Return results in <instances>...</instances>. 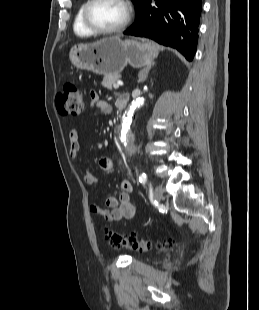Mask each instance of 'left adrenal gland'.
Wrapping results in <instances>:
<instances>
[{
	"instance_id": "obj_1",
	"label": "left adrenal gland",
	"mask_w": 259,
	"mask_h": 310,
	"mask_svg": "<svg viewBox=\"0 0 259 310\" xmlns=\"http://www.w3.org/2000/svg\"><path fill=\"white\" fill-rule=\"evenodd\" d=\"M155 63H152V65H149L148 67L142 69L140 72H139V80L138 82L140 83H143L146 81L147 77H148V74H149V71L151 70L152 66H154Z\"/></svg>"
}]
</instances>
